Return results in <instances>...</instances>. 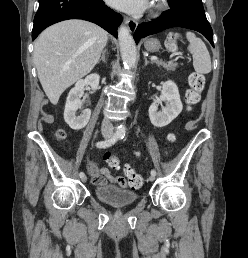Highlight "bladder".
I'll return each mask as SVG.
<instances>
[{
	"mask_svg": "<svg viewBox=\"0 0 248 258\" xmlns=\"http://www.w3.org/2000/svg\"><path fill=\"white\" fill-rule=\"evenodd\" d=\"M94 194L98 200L112 207H127L138 200V193L112 184L98 185Z\"/></svg>",
	"mask_w": 248,
	"mask_h": 258,
	"instance_id": "31cf9c89",
	"label": "bladder"
}]
</instances>
